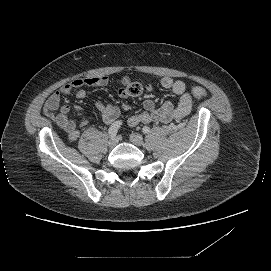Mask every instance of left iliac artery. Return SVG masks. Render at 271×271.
<instances>
[{"mask_svg":"<svg viewBox=\"0 0 271 271\" xmlns=\"http://www.w3.org/2000/svg\"><path fill=\"white\" fill-rule=\"evenodd\" d=\"M142 132H143L144 134H148V133H150V128H149L148 126H144V127L142 128Z\"/></svg>","mask_w":271,"mask_h":271,"instance_id":"1","label":"left iliac artery"}]
</instances>
